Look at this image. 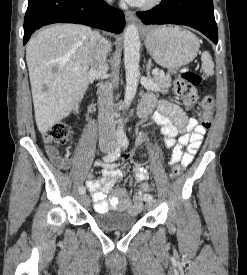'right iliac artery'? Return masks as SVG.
I'll return each mask as SVG.
<instances>
[{"label":"right iliac artery","mask_w":247,"mask_h":275,"mask_svg":"<svg viewBox=\"0 0 247 275\" xmlns=\"http://www.w3.org/2000/svg\"><path fill=\"white\" fill-rule=\"evenodd\" d=\"M120 152H121V143H118V146L116 147V149L112 153H109L108 155L103 157V160L105 162H113L120 156ZM85 192H86L85 187L81 186L79 188V194L83 195L85 194Z\"/></svg>","instance_id":"right-iliac-artery-1"}]
</instances>
